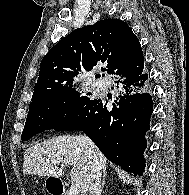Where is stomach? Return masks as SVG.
<instances>
[{
    "instance_id": "1",
    "label": "stomach",
    "mask_w": 189,
    "mask_h": 195,
    "mask_svg": "<svg viewBox=\"0 0 189 195\" xmlns=\"http://www.w3.org/2000/svg\"><path fill=\"white\" fill-rule=\"evenodd\" d=\"M50 178H51V177H48V178H46V180H45V187H46V189H48V190L51 189L50 184H49Z\"/></svg>"
}]
</instances>
